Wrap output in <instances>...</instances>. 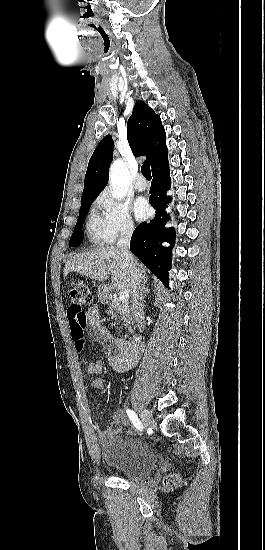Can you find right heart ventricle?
<instances>
[{
  "label": "right heart ventricle",
  "mask_w": 265,
  "mask_h": 550,
  "mask_svg": "<svg viewBox=\"0 0 265 550\" xmlns=\"http://www.w3.org/2000/svg\"><path fill=\"white\" fill-rule=\"evenodd\" d=\"M86 232L88 238L94 244L110 242L104 229L103 218L95 211L91 212L88 217Z\"/></svg>",
  "instance_id": "1"
}]
</instances>
